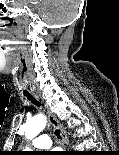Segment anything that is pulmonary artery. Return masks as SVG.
Here are the masks:
<instances>
[{"label":"pulmonary artery","instance_id":"e3ab8cb5","mask_svg":"<svg viewBox=\"0 0 119 155\" xmlns=\"http://www.w3.org/2000/svg\"><path fill=\"white\" fill-rule=\"evenodd\" d=\"M33 146L38 149H48L52 146V141L49 135L47 134H42L38 136L34 141H33Z\"/></svg>","mask_w":119,"mask_h":155}]
</instances>
